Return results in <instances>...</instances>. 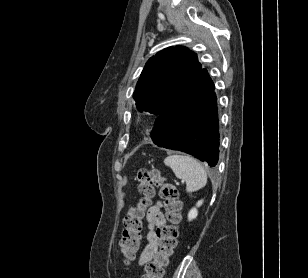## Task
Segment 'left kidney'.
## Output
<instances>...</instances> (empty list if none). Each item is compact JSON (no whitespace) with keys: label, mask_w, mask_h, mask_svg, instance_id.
I'll list each match as a JSON object with an SVG mask.
<instances>
[{"label":"left kidney","mask_w":308,"mask_h":278,"mask_svg":"<svg viewBox=\"0 0 308 278\" xmlns=\"http://www.w3.org/2000/svg\"><path fill=\"white\" fill-rule=\"evenodd\" d=\"M203 204V200L198 201V203L196 204L197 207H200ZM198 215V211L196 208H192L189 213H188V220L191 221L193 219H195Z\"/></svg>","instance_id":"5707ae66"}]
</instances>
